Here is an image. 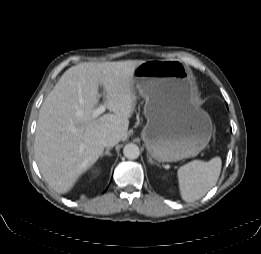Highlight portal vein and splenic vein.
<instances>
[{"label": "portal vein and splenic vein", "instance_id": "18ae733b", "mask_svg": "<svg viewBox=\"0 0 261 254\" xmlns=\"http://www.w3.org/2000/svg\"><path fill=\"white\" fill-rule=\"evenodd\" d=\"M105 110H106V105L99 106L96 110L93 111L92 118L93 119L98 118V116H100L102 113H104Z\"/></svg>", "mask_w": 261, "mask_h": 254}]
</instances>
